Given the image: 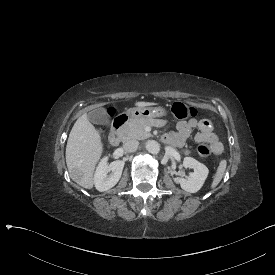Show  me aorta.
Masks as SVG:
<instances>
[{
  "mask_svg": "<svg viewBox=\"0 0 275 275\" xmlns=\"http://www.w3.org/2000/svg\"><path fill=\"white\" fill-rule=\"evenodd\" d=\"M146 148L148 150L149 153L153 154V155H157L160 153V144L154 140H150L147 142L146 144Z\"/></svg>",
  "mask_w": 275,
  "mask_h": 275,
  "instance_id": "762f6f07",
  "label": "aorta"
}]
</instances>
